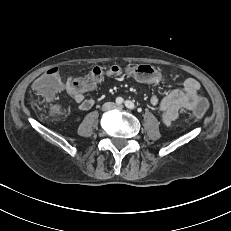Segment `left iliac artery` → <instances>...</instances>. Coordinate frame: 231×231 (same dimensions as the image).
<instances>
[{
  "mask_svg": "<svg viewBox=\"0 0 231 231\" xmlns=\"http://www.w3.org/2000/svg\"><path fill=\"white\" fill-rule=\"evenodd\" d=\"M125 106H126L127 108H129V109H134V108H135L134 103L131 102V101H129V100L125 101Z\"/></svg>",
  "mask_w": 231,
  "mask_h": 231,
  "instance_id": "obj_1",
  "label": "left iliac artery"
}]
</instances>
